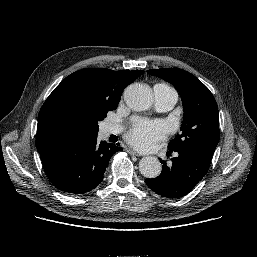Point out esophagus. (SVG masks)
<instances>
[{"instance_id": "1", "label": "esophagus", "mask_w": 257, "mask_h": 257, "mask_svg": "<svg viewBox=\"0 0 257 257\" xmlns=\"http://www.w3.org/2000/svg\"><path fill=\"white\" fill-rule=\"evenodd\" d=\"M127 152L130 154V155H133V156H141L138 152H136L135 150L131 149V148H128L127 149Z\"/></svg>"}]
</instances>
